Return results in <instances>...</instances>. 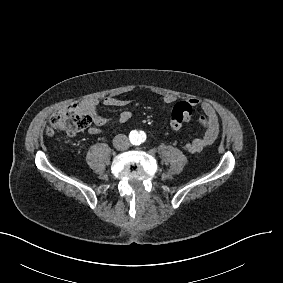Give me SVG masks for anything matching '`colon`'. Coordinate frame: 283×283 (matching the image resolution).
<instances>
[{
  "label": "colon",
  "instance_id": "1",
  "mask_svg": "<svg viewBox=\"0 0 283 283\" xmlns=\"http://www.w3.org/2000/svg\"><path fill=\"white\" fill-rule=\"evenodd\" d=\"M191 112L192 109L189 104L185 102L175 104L171 112L170 127L179 129L182 123H188L191 119ZM89 124L88 115L84 114L83 108L79 104H73L71 108L65 107L53 113L51 122L46 128V134L53 137L59 132H65L70 136H74L86 130Z\"/></svg>",
  "mask_w": 283,
  "mask_h": 283
}]
</instances>
